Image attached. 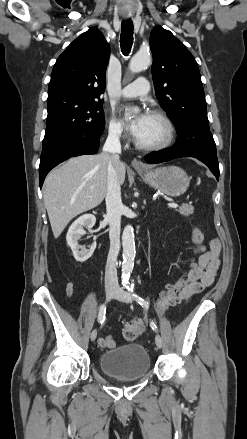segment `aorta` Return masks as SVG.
<instances>
[{"instance_id":"762f6f07","label":"aorta","mask_w":247,"mask_h":439,"mask_svg":"<svg viewBox=\"0 0 247 439\" xmlns=\"http://www.w3.org/2000/svg\"><path fill=\"white\" fill-rule=\"evenodd\" d=\"M151 63V56L148 53H136L130 60L129 69L134 72H140L146 69ZM134 112H139L138 108L134 109ZM122 246H123V262H122V280L126 282L134 267L135 258V240L134 229L131 225L125 226L122 234Z\"/></svg>"}]
</instances>
